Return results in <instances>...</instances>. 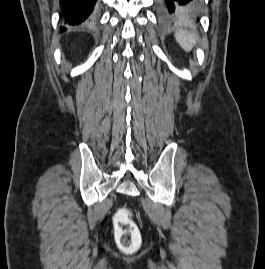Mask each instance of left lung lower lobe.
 <instances>
[{
  "instance_id": "1",
  "label": "left lung lower lobe",
  "mask_w": 265,
  "mask_h": 269,
  "mask_svg": "<svg viewBox=\"0 0 265 269\" xmlns=\"http://www.w3.org/2000/svg\"><path fill=\"white\" fill-rule=\"evenodd\" d=\"M159 15L165 24L197 17L200 0H157Z\"/></svg>"
}]
</instances>
